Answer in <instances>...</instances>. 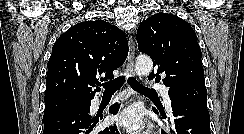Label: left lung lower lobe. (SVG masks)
<instances>
[{"label":"left lung lower lobe","instance_id":"left-lung-lower-lobe-1","mask_svg":"<svg viewBox=\"0 0 244 134\" xmlns=\"http://www.w3.org/2000/svg\"><path fill=\"white\" fill-rule=\"evenodd\" d=\"M174 134H211L210 116L206 107L188 102L171 101ZM156 113L157 110L153 109ZM164 119L166 117L162 116ZM164 134H166L164 132Z\"/></svg>","mask_w":244,"mask_h":134}]
</instances>
